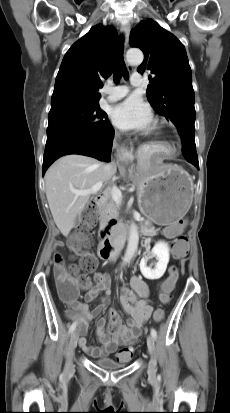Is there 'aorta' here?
Segmentation results:
<instances>
[{
	"label": "aorta",
	"instance_id": "aorta-1",
	"mask_svg": "<svg viewBox=\"0 0 230 413\" xmlns=\"http://www.w3.org/2000/svg\"><path fill=\"white\" fill-rule=\"evenodd\" d=\"M126 59L131 65L141 64L143 61V53L139 49H129L126 54ZM139 242V233L138 227L134 222L130 224L129 240L127 249L123 258V263H129L135 255V252L138 247Z\"/></svg>",
	"mask_w": 230,
	"mask_h": 413
}]
</instances>
